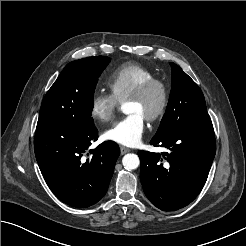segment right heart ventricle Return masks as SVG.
I'll return each mask as SVG.
<instances>
[{"mask_svg": "<svg viewBox=\"0 0 246 246\" xmlns=\"http://www.w3.org/2000/svg\"><path fill=\"white\" fill-rule=\"evenodd\" d=\"M155 78V73L136 63H125L111 72L107 85L118 102H124L146 81Z\"/></svg>", "mask_w": 246, "mask_h": 246, "instance_id": "obj_1", "label": "right heart ventricle"}]
</instances>
